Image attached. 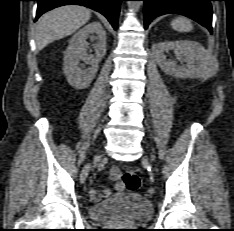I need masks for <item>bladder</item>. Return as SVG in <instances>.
I'll use <instances>...</instances> for the list:
<instances>
[{
  "instance_id": "1",
  "label": "bladder",
  "mask_w": 234,
  "mask_h": 231,
  "mask_svg": "<svg viewBox=\"0 0 234 231\" xmlns=\"http://www.w3.org/2000/svg\"><path fill=\"white\" fill-rule=\"evenodd\" d=\"M151 202L138 193H123L107 201L89 207V214L95 221L125 220L146 222L152 216Z\"/></svg>"
}]
</instances>
